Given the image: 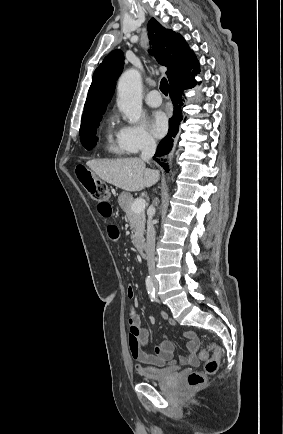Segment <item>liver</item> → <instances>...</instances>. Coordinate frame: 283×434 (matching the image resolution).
<instances>
[{
  "label": "liver",
  "mask_w": 283,
  "mask_h": 434,
  "mask_svg": "<svg viewBox=\"0 0 283 434\" xmlns=\"http://www.w3.org/2000/svg\"><path fill=\"white\" fill-rule=\"evenodd\" d=\"M86 165L103 181L129 192L149 188L160 177L157 170L146 168L140 158L89 160Z\"/></svg>",
  "instance_id": "obj_1"
}]
</instances>
